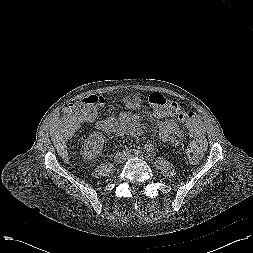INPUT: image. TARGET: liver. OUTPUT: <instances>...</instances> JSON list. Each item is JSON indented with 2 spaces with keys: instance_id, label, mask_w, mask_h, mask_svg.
Returning <instances> with one entry per match:
<instances>
[{
  "instance_id": "liver-1",
  "label": "liver",
  "mask_w": 253,
  "mask_h": 253,
  "mask_svg": "<svg viewBox=\"0 0 253 253\" xmlns=\"http://www.w3.org/2000/svg\"><path fill=\"white\" fill-rule=\"evenodd\" d=\"M49 132L53 141V144L59 153V155L65 160H68V154L66 151V146H65V139L61 133L60 127H59V122H58V116H56L50 125Z\"/></svg>"
}]
</instances>
